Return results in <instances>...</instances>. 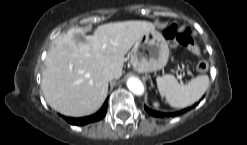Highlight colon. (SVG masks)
Wrapping results in <instances>:
<instances>
[{"label":"colon","mask_w":247,"mask_h":145,"mask_svg":"<svg viewBox=\"0 0 247 145\" xmlns=\"http://www.w3.org/2000/svg\"><path fill=\"white\" fill-rule=\"evenodd\" d=\"M163 35L165 39L170 43L176 46H183L191 51L193 54L197 56L200 55V49L196 44L192 35V31L190 29L178 31V27L173 24L164 30ZM196 68L199 72L204 73L209 69V65L205 61H200L197 64Z\"/></svg>","instance_id":"obj_1"}]
</instances>
